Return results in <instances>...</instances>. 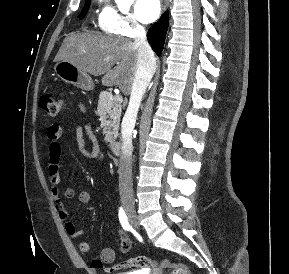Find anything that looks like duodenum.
I'll return each mask as SVG.
<instances>
[{
	"instance_id": "410a0bca",
	"label": "duodenum",
	"mask_w": 289,
	"mask_h": 274,
	"mask_svg": "<svg viewBox=\"0 0 289 274\" xmlns=\"http://www.w3.org/2000/svg\"><path fill=\"white\" fill-rule=\"evenodd\" d=\"M110 149H111V151L114 154H116V155L120 154V152H121V143L119 141H112L110 143Z\"/></svg>"
}]
</instances>
